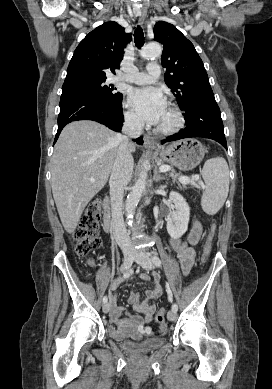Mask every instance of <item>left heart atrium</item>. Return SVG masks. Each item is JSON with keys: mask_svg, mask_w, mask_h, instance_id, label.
Returning a JSON list of instances; mask_svg holds the SVG:
<instances>
[{"mask_svg": "<svg viewBox=\"0 0 272 389\" xmlns=\"http://www.w3.org/2000/svg\"><path fill=\"white\" fill-rule=\"evenodd\" d=\"M128 105L143 121L154 125L159 124L167 109L162 91L155 87L132 89L129 93Z\"/></svg>", "mask_w": 272, "mask_h": 389, "instance_id": "39dd6f15", "label": "left heart atrium"}]
</instances>
